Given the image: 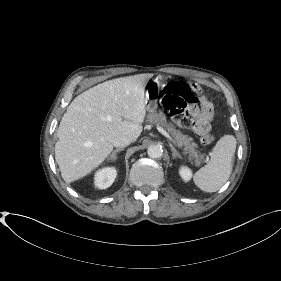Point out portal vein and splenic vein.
<instances>
[{"instance_id":"obj_1","label":"portal vein and splenic vein","mask_w":281,"mask_h":281,"mask_svg":"<svg viewBox=\"0 0 281 281\" xmlns=\"http://www.w3.org/2000/svg\"><path fill=\"white\" fill-rule=\"evenodd\" d=\"M157 130L175 144V141L172 139V137L161 126L158 125Z\"/></svg>"}]
</instances>
